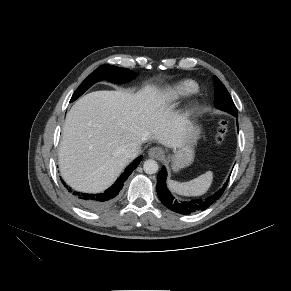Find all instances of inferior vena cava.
Wrapping results in <instances>:
<instances>
[{
	"instance_id": "602c4592",
	"label": "inferior vena cava",
	"mask_w": 291,
	"mask_h": 291,
	"mask_svg": "<svg viewBox=\"0 0 291 291\" xmlns=\"http://www.w3.org/2000/svg\"><path fill=\"white\" fill-rule=\"evenodd\" d=\"M141 151V145L138 143H130L128 144L125 149H124V154L130 158L133 159L135 158Z\"/></svg>"
}]
</instances>
